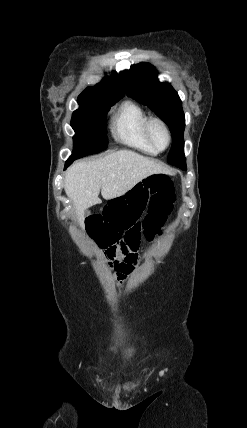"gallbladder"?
<instances>
[{
	"label": "gallbladder",
	"instance_id": "1",
	"mask_svg": "<svg viewBox=\"0 0 247 428\" xmlns=\"http://www.w3.org/2000/svg\"><path fill=\"white\" fill-rule=\"evenodd\" d=\"M85 214H89V211H86Z\"/></svg>",
	"mask_w": 247,
	"mask_h": 428
}]
</instances>
